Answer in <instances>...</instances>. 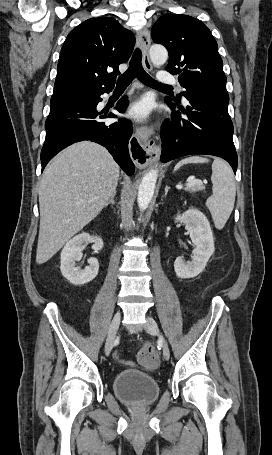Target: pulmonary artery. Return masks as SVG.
Listing matches in <instances>:
<instances>
[{"mask_svg":"<svg viewBox=\"0 0 272 455\" xmlns=\"http://www.w3.org/2000/svg\"><path fill=\"white\" fill-rule=\"evenodd\" d=\"M158 82L162 84H176V78L168 72L161 71L158 74Z\"/></svg>","mask_w":272,"mask_h":455,"instance_id":"obj_1","label":"pulmonary artery"}]
</instances>
